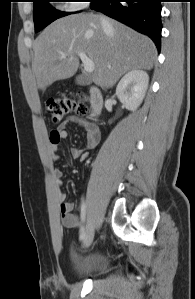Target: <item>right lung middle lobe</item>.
Segmentation results:
<instances>
[{
	"mask_svg": "<svg viewBox=\"0 0 195 299\" xmlns=\"http://www.w3.org/2000/svg\"><path fill=\"white\" fill-rule=\"evenodd\" d=\"M50 0H33L34 11L33 19L35 32H38L58 18L68 15L69 13L55 10L50 4ZM93 1V0H91Z\"/></svg>",
	"mask_w": 195,
	"mask_h": 299,
	"instance_id": "dd1d6c3e",
	"label": "right lung middle lobe"
}]
</instances>
